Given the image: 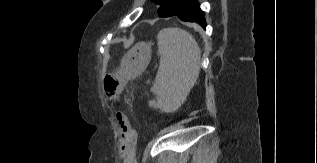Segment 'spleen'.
I'll return each instance as SVG.
<instances>
[{"label": "spleen", "mask_w": 317, "mask_h": 163, "mask_svg": "<svg viewBox=\"0 0 317 163\" xmlns=\"http://www.w3.org/2000/svg\"><path fill=\"white\" fill-rule=\"evenodd\" d=\"M159 69L151 91L158 108L175 112L186 100L200 73L201 50L195 38L180 28L158 33Z\"/></svg>", "instance_id": "1"}]
</instances>
